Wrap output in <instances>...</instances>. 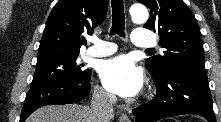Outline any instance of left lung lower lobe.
Returning a JSON list of instances; mask_svg holds the SVG:
<instances>
[{
  "label": "left lung lower lobe",
  "instance_id": "left-lung-lower-lobe-1",
  "mask_svg": "<svg viewBox=\"0 0 221 122\" xmlns=\"http://www.w3.org/2000/svg\"><path fill=\"white\" fill-rule=\"evenodd\" d=\"M152 77L157 95L133 110L136 122H155L181 114H198L216 122L205 70L179 67L161 78Z\"/></svg>",
  "mask_w": 221,
  "mask_h": 122
}]
</instances>
